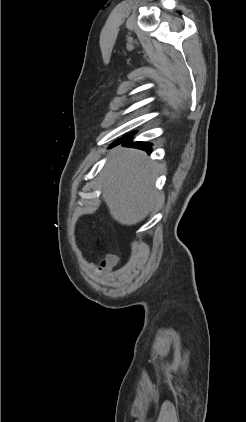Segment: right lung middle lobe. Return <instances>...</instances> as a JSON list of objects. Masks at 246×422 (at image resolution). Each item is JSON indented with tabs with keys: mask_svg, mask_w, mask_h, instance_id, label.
<instances>
[{
	"mask_svg": "<svg viewBox=\"0 0 246 422\" xmlns=\"http://www.w3.org/2000/svg\"><path fill=\"white\" fill-rule=\"evenodd\" d=\"M132 135H134V133L129 134V135H126L125 137H123V138L119 139V140H118V141H116V142H120V141H123V140H125V139H128V138H130Z\"/></svg>",
	"mask_w": 246,
	"mask_h": 422,
	"instance_id": "dd1d6c3e",
	"label": "right lung middle lobe"
}]
</instances>
